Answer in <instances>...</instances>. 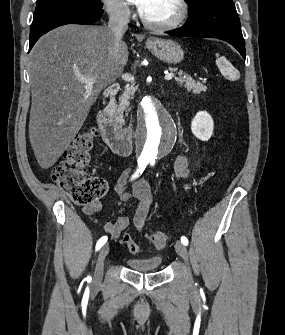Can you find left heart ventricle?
I'll return each instance as SVG.
<instances>
[{
	"mask_svg": "<svg viewBox=\"0 0 285 335\" xmlns=\"http://www.w3.org/2000/svg\"><path fill=\"white\" fill-rule=\"evenodd\" d=\"M178 14L179 9L174 1H150L144 20L158 26L175 20Z\"/></svg>",
	"mask_w": 285,
	"mask_h": 335,
	"instance_id": "left-heart-ventricle-1",
	"label": "left heart ventricle"
}]
</instances>
